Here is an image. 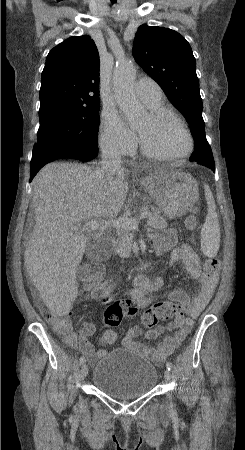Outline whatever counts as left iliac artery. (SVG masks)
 <instances>
[{
    "label": "left iliac artery",
    "instance_id": "44dca946",
    "mask_svg": "<svg viewBox=\"0 0 245 450\" xmlns=\"http://www.w3.org/2000/svg\"><path fill=\"white\" fill-rule=\"evenodd\" d=\"M166 367H167V369H168L169 372L172 370V365H171V363L167 362V363H166Z\"/></svg>",
    "mask_w": 245,
    "mask_h": 450
}]
</instances>
